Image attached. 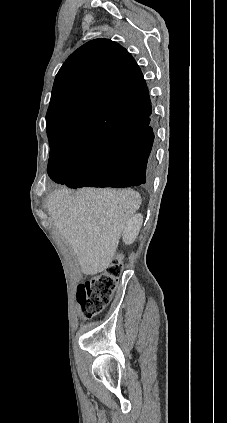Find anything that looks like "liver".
<instances>
[{"mask_svg": "<svg viewBox=\"0 0 227 423\" xmlns=\"http://www.w3.org/2000/svg\"><path fill=\"white\" fill-rule=\"evenodd\" d=\"M141 202L133 190L70 192L65 188L51 194L47 208L50 221L69 241L83 273L96 275L112 263L123 229Z\"/></svg>", "mask_w": 227, "mask_h": 423, "instance_id": "liver-1", "label": "liver"}]
</instances>
